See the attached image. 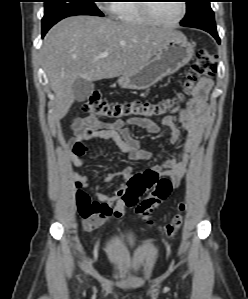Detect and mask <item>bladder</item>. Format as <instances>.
<instances>
[{
    "label": "bladder",
    "mask_w": 248,
    "mask_h": 299,
    "mask_svg": "<svg viewBox=\"0 0 248 299\" xmlns=\"http://www.w3.org/2000/svg\"><path fill=\"white\" fill-rule=\"evenodd\" d=\"M117 241L128 249L137 245L136 236L131 230L120 231L117 235Z\"/></svg>",
    "instance_id": "obj_1"
}]
</instances>
